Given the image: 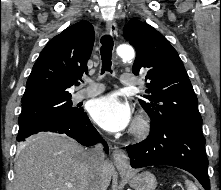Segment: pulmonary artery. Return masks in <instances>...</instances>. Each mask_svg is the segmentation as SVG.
Returning <instances> with one entry per match:
<instances>
[{
  "label": "pulmonary artery",
  "mask_w": 221,
  "mask_h": 190,
  "mask_svg": "<svg viewBox=\"0 0 221 190\" xmlns=\"http://www.w3.org/2000/svg\"><path fill=\"white\" fill-rule=\"evenodd\" d=\"M121 84L126 87H136L140 85L139 80L130 73H123L120 77ZM104 90V86L99 83L90 82L88 85L73 95V100L79 102L83 99L94 97Z\"/></svg>",
  "instance_id": "e3ab8cb5"
}]
</instances>
